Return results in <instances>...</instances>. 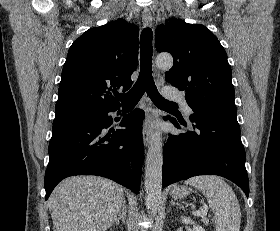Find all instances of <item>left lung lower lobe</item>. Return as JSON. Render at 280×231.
Segmentation results:
<instances>
[{
  "mask_svg": "<svg viewBox=\"0 0 280 231\" xmlns=\"http://www.w3.org/2000/svg\"><path fill=\"white\" fill-rule=\"evenodd\" d=\"M191 120L196 131L170 134L164 145L162 187L197 175H219L237 184L248 197L246 155L237 115L193 113ZM170 121L181 129L176 119Z\"/></svg>",
  "mask_w": 280,
  "mask_h": 231,
  "instance_id": "0a47b994",
  "label": "left lung lower lobe"
}]
</instances>
